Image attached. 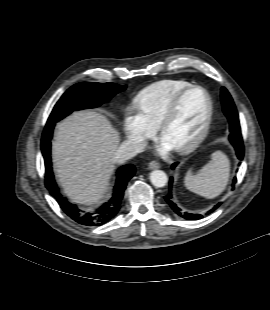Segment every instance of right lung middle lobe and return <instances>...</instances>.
Returning a JSON list of instances; mask_svg holds the SVG:
<instances>
[{
  "label": "right lung middle lobe",
  "instance_id": "obj_1",
  "mask_svg": "<svg viewBox=\"0 0 270 310\" xmlns=\"http://www.w3.org/2000/svg\"><path fill=\"white\" fill-rule=\"evenodd\" d=\"M125 88L115 83L75 84L61 96L47 122H57L75 110L98 107Z\"/></svg>",
  "mask_w": 270,
  "mask_h": 310
}]
</instances>
